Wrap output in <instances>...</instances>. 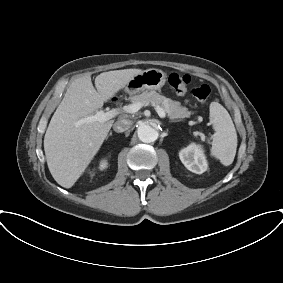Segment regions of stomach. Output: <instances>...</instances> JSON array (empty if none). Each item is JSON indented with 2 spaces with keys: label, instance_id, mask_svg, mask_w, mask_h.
Listing matches in <instances>:
<instances>
[{
  "label": "stomach",
  "instance_id": "obj_1",
  "mask_svg": "<svg viewBox=\"0 0 283 283\" xmlns=\"http://www.w3.org/2000/svg\"><path fill=\"white\" fill-rule=\"evenodd\" d=\"M166 82V74L160 69H147L136 75L127 85L126 90L135 94L143 90H160Z\"/></svg>",
  "mask_w": 283,
  "mask_h": 283
}]
</instances>
